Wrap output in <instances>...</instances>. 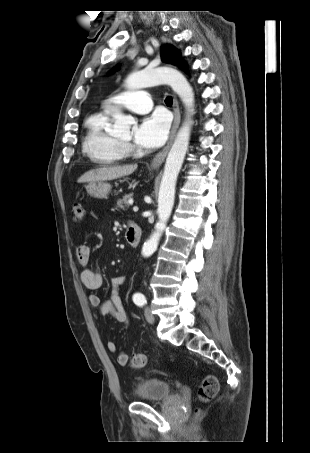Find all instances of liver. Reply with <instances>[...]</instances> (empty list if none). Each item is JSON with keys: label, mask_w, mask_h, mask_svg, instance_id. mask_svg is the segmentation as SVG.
I'll use <instances>...</instances> for the list:
<instances>
[{"label": "liver", "mask_w": 310, "mask_h": 453, "mask_svg": "<svg viewBox=\"0 0 310 453\" xmlns=\"http://www.w3.org/2000/svg\"><path fill=\"white\" fill-rule=\"evenodd\" d=\"M137 164L124 165V166H109V167H100L96 169L89 170L83 174L78 180V183L85 182H97V181H106L114 180L121 178L123 176H128L132 174L137 169Z\"/></svg>", "instance_id": "liver-1"}]
</instances>
